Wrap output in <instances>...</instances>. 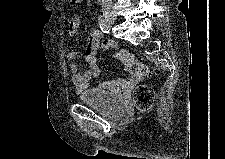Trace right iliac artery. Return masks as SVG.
Masks as SVG:
<instances>
[{
	"label": "right iliac artery",
	"instance_id": "right-iliac-artery-1",
	"mask_svg": "<svg viewBox=\"0 0 225 159\" xmlns=\"http://www.w3.org/2000/svg\"><path fill=\"white\" fill-rule=\"evenodd\" d=\"M98 23H99V26H100L102 32H104V33L110 32V26L107 23V20L104 19V17L102 15L99 16Z\"/></svg>",
	"mask_w": 225,
	"mask_h": 159
}]
</instances>
